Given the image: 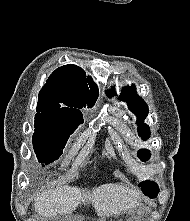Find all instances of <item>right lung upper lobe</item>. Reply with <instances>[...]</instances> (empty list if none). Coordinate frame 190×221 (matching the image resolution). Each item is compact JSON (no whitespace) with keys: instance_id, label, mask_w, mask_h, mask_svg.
<instances>
[{"instance_id":"1","label":"right lung upper lobe","mask_w":190,"mask_h":221,"mask_svg":"<svg viewBox=\"0 0 190 221\" xmlns=\"http://www.w3.org/2000/svg\"><path fill=\"white\" fill-rule=\"evenodd\" d=\"M98 88L91 77L76 65L57 68L39 93L35 117L61 119L70 123L83 122L79 108L93 107Z\"/></svg>"}]
</instances>
